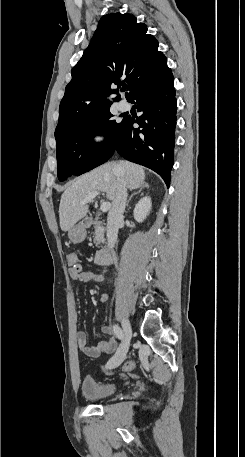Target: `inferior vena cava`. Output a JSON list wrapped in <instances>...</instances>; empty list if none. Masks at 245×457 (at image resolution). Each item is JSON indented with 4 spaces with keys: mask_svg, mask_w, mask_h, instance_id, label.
<instances>
[{
    "mask_svg": "<svg viewBox=\"0 0 245 457\" xmlns=\"http://www.w3.org/2000/svg\"><path fill=\"white\" fill-rule=\"evenodd\" d=\"M113 170L114 172H119L120 166H114ZM116 176L118 188L115 200H113L107 216V241L109 243V247H114L115 243H117L118 229L121 222H123V212L125 210L127 200L126 180L124 176H120V174H116Z\"/></svg>",
    "mask_w": 245,
    "mask_h": 457,
    "instance_id": "1",
    "label": "inferior vena cava"
}]
</instances>
